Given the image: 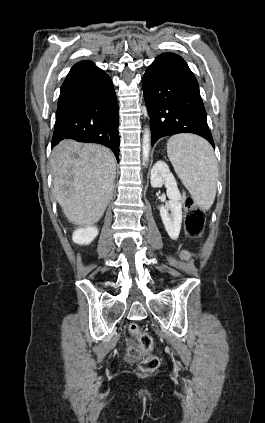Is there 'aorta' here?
Listing matches in <instances>:
<instances>
[{
	"label": "aorta",
	"instance_id": "762f6f07",
	"mask_svg": "<svg viewBox=\"0 0 265 423\" xmlns=\"http://www.w3.org/2000/svg\"><path fill=\"white\" fill-rule=\"evenodd\" d=\"M149 152H150V131L148 128H145V131L143 134V145H142L143 162L148 161Z\"/></svg>",
	"mask_w": 265,
	"mask_h": 423
}]
</instances>
